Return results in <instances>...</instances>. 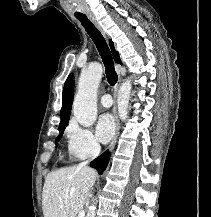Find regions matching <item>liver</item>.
Here are the masks:
<instances>
[{
    "label": "liver",
    "instance_id": "6515ba94",
    "mask_svg": "<svg viewBox=\"0 0 211 217\" xmlns=\"http://www.w3.org/2000/svg\"><path fill=\"white\" fill-rule=\"evenodd\" d=\"M97 173L90 167L73 166L49 173L42 192L44 217H76L88 204L89 190Z\"/></svg>",
    "mask_w": 211,
    "mask_h": 217
}]
</instances>
